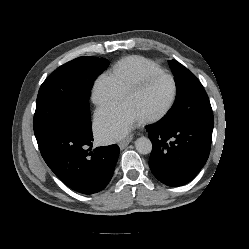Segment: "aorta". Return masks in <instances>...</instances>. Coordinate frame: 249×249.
<instances>
[{
  "label": "aorta",
  "instance_id": "1",
  "mask_svg": "<svg viewBox=\"0 0 249 249\" xmlns=\"http://www.w3.org/2000/svg\"><path fill=\"white\" fill-rule=\"evenodd\" d=\"M135 148L140 154H149L152 151V142L147 137H139L135 141Z\"/></svg>",
  "mask_w": 249,
  "mask_h": 249
}]
</instances>
